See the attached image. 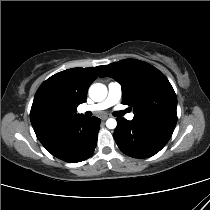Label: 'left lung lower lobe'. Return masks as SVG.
<instances>
[{"label": "left lung lower lobe", "mask_w": 210, "mask_h": 210, "mask_svg": "<svg viewBox=\"0 0 210 210\" xmlns=\"http://www.w3.org/2000/svg\"><path fill=\"white\" fill-rule=\"evenodd\" d=\"M114 139L120 150L133 158H148L169 141L175 126L117 118Z\"/></svg>", "instance_id": "left-lung-lower-lobe-1"}]
</instances>
